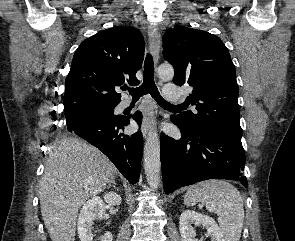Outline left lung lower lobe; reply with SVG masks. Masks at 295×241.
<instances>
[{
    "label": "left lung lower lobe",
    "instance_id": "0a47b994",
    "mask_svg": "<svg viewBox=\"0 0 295 241\" xmlns=\"http://www.w3.org/2000/svg\"><path fill=\"white\" fill-rule=\"evenodd\" d=\"M170 119L180 128L182 137L176 140L161 135L160 159L166 194L207 179L238 180L248 187L243 175L246 157L241 139L210 130H186L174 115Z\"/></svg>",
    "mask_w": 295,
    "mask_h": 241
}]
</instances>
